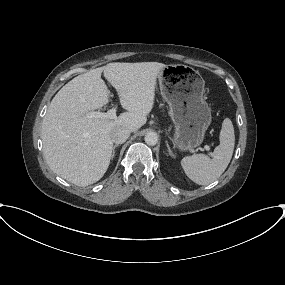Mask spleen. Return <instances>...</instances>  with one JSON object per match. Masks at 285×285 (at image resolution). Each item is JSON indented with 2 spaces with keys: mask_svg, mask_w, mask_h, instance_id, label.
<instances>
[{
  "mask_svg": "<svg viewBox=\"0 0 285 285\" xmlns=\"http://www.w3.org/2000/svg\"><path fill=\"white\" fill-rule=\"evenodd\" d=\"M220 144L214 149L213 157L205 154L186 156L181 165L186 175L199 185H208L219 178L226 170L233 155L235 145L234 127L225 118L219 135Z\"/></svg>",
  "mask_w": 285,
  "mask_h": 285,
  "instance_id": "1",
  "label": "spleen"
}]
</instances>
